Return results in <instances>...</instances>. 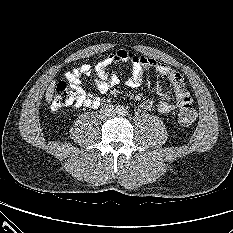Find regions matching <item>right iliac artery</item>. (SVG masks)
<instances>
[{"mask_svg": "<svg viewBox=\"0 0 233 233\" xmlns=\"http://www.w3.org/2000/svg\"><path fill=\"white\" fill-rule=\"evenodd\" d=\"M116 109H117V111H121L122 110L121 107H119V106Z\"/></svg>", "mask_w": 233, "mask_h": 233, "instance_id": "obj_1", "label": "right iliac artery"}]
</instances>
